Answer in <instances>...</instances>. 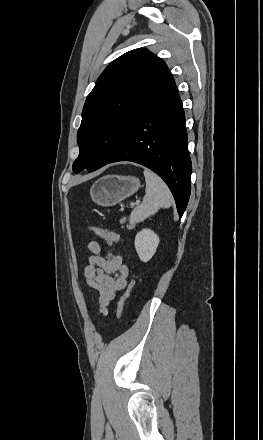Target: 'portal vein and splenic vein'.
<instances>
[{"mask_svg": "<svg viewBox=\"0 0 263 440\" xmlns=\"http://www.w3.org/2000/svg\"><path fill=\"white\" fill-rule=\"evenodd\" d=\"M140 203V200H137L135 203H131V206L134 207L135 205H138Z\"/></svg>", "mask_w": 263, "mask_h": 440, "instance_id": "portal-vein-and-splenic-vein-1", "label": "portal vein and splenic vein"}]
</instances>
